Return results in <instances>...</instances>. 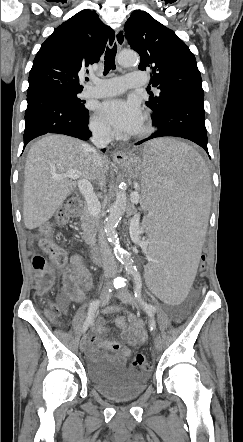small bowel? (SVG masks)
Here are the masks:
<instances>
[{"instance_id": "obj_1", "label": "small bowel", "mask_w": 243, "mask_h": 442, "mask_svg": "<svg viewBox=\"0 0 243 442\" xmlns=\"http://www.w3.org/2000/svg\"><path fill=\"white\" fill-rule=\"evenodd\" d=\"M91 284V274L84 265L82 257L79 254L72 255L69 265L63 272V289L59 296L60 304L65 307L69 301L82 302L86 297V289ZM115 324L125 333L128 345L138 346L146 341L147 332L144 329V322L135 314L129 313L127 317L119 316L115 319ZM105 334V321L99 319L96 336L90 340V343L96 348L117 353L124 363L130 354L128 345L116 340H106Z\"/></svg>"}]
</instances>
